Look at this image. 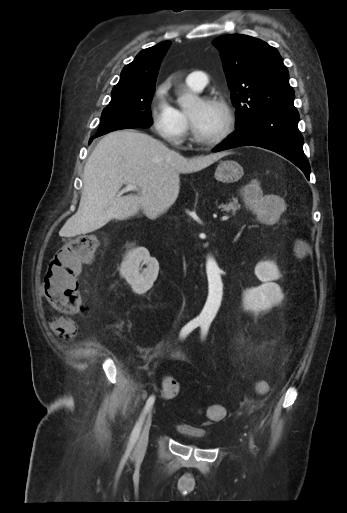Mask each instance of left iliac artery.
<instances>
[{"mask_svg": "<svg viewBox=\"0 0 347 513\" xmlns=\"http://www.w3.org/2000/svg\"><path fill=\"white\" fill-rule=\"evenodd\" d=\"M209 326H210V321H205L204 323H202V325H201L202 338H204L206 336ZM251 446L253 447V444H251Z\"/></svg>", "mask_w": 347, "mask_h": 513, "instance_id": "left-iliac-artery-1", "label": "left iliac artery"}]
</instances>
